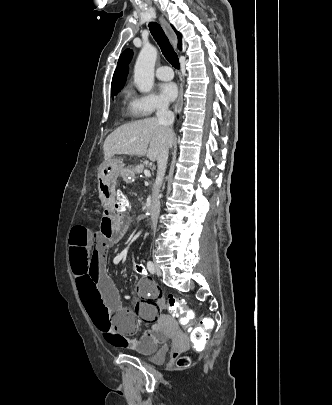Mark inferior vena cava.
Returning <instances> with one entry per match:
<instances>
[{
    "label": "inferior vena cava",
    "mask_w": 332,
    "mask_h": 405,
    "mask_svg": "<svg viewBox=\"0 0 332 405\" xmlns=\"http://www.w3.org/2000/svg\"><path fill=\"white\" fill-rule=\"evenodd\" d=\"M157 120L167 132H172L174 123V113L169 110V103L167 101H160L157 106ZM169 147L165 144L158 159H157V177L152 190V203L150 208L151 220L153 225L156 224L160 213V187L165 175L167 161H168Z\"/></svg>",
    "instance_id": "602c4592"
}]
</instances>
